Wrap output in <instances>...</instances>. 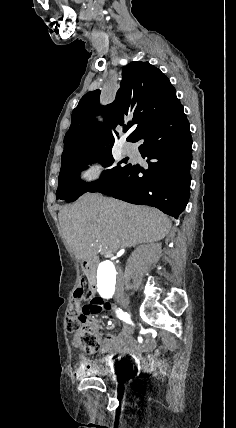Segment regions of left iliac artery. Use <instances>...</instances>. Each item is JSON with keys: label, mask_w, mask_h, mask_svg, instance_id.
<instances>
[{"label": "left iliac artery", "mask_w": 236, "mask_h": 428, "mask_svg": "<svg viewBox=\"0 0 236 428\" xmlns=\"http://www.w3.org/2000/svg\"><path fill=\"white\" fill-rule=\"evenodd\" d=\"M99 294L101 295V297L103 298H112L114 291H101L99 292Z\"/></svg>", "instance_id": "left-iliac-artery-1"}]
</instances>
